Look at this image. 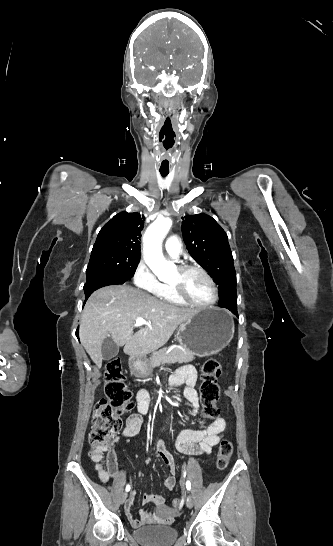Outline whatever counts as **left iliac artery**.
I'll return each mask as SVG.
<instances>
[{"label": "left iliac artery", "mask_w": 333, "mask_h": 546, "mask_svg": "<svg viewBox=\"0 0 333 546\" xmlns=\"http://www.w3.org/2000/svg\"><path fill=\"white\" fill-rule=\"evenodd\" d=\"M186 488H187V490H189V491H190V489H191V483H190L189 480L186 481Z\"/></svg>", "instance_id": "left-iliac-artery-1"}]
</instances>
